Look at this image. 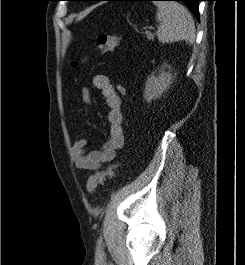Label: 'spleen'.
Segmentation results:
<instances>
[{"label":"spleen","mask_w":245,"mask_h":265,"mask_svg":"<svg viewBox=\"0 0 245 265\" xmlns=\"http://www.w3.org/2000/svg\"><path fill=\"white\" fill-rule=\"evenodd\" d=\"M153 3L157 7L156 20L160 23L157 30L158 40L162 43L185 40L192 44L195 40V25L189 11L174 1Z\"/></svg>","instance_id":"1"}]
</instances>
